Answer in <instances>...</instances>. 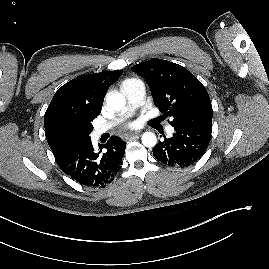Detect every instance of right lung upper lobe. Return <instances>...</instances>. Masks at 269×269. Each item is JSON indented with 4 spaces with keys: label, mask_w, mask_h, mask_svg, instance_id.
Listing matches in <instances>:
<instances>
[{
    "label": "right lung upper lobe",
    "mask_w": 269,
    "mask_h": 269,
    "mask_svg": "<svg viewBox=\"0 0 269 269\" xmlns=\"http://www.w3.org/2000/svg\"><path fill=\"white\" fill-rule=\"evenodd\" d=\"M121 70L80 75L60 87L52 98L44 116L47 142L54 154L64 126L75 122H91L101 112L108 88L121 76Z\"/></svg>",
    "instance_id": "obj_1"
}]
</instances>
